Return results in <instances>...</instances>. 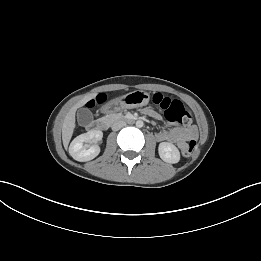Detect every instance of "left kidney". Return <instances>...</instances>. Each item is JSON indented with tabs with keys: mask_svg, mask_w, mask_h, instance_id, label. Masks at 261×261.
I'll return each mask as SVG.
<instances>
[{
	"mask_svg": "<svg viewBox=\"0 0 261 261\" xmlns=\"http://www.w3.org/2000/svg\"><path fill=\"white\" fill-rule=\"evenodd\" d=\"M160 158L167 163H178L180 160V152L178 148L168 142H162L158 147Z\"/></svg>",
	"mask_w": 261,
	"mask_h": 261,
	"instance_id": "left-kidney-1",
	"label": "left kidney"
}]
</instances>
